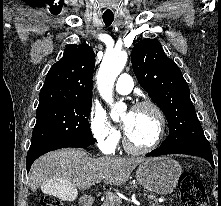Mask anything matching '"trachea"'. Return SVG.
Here are the masks:
<instances>
[{"label":"trachea","mask_w":221,"mask_h":206,"mask_svg":"<svg viewBox=\"0 0 221 206\" xmlns=\"http://www.w3.org/2000/svg\"><path fill=\"white\" fill-rule=\"evenodd\" d=\"M113 20H114L113 15L103 16V21L106 26H110L112 24Z\"/></svg>","instance_id":"obj_1"}]
</instances>
